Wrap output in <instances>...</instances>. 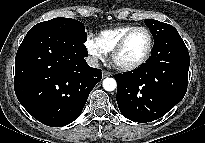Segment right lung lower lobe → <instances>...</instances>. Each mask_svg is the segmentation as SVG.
Listing matches in <instances>:
<instances>
[{"label":"right lung lower lobe","instance_id":"1","mask_svg":"<svg viewBox=\"0 0 205 143\" xmlns=\"http://www.w3.org/2000/svg\"><path fill=\"white\" fill-rule=\"evenodd\" d=\"M83 42L51 27H32L15 58L14 89L27 112L41 123L61 127L82 112L102 79L88 66Z\"/></svg>","mask_w":205,"mask_h":143}]
</instances>
